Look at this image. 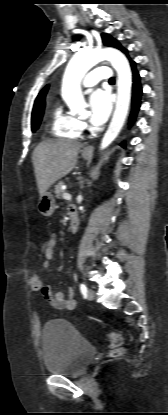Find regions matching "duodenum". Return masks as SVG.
<instances>
[{"instance_id":"obj_1","label":"duodenum","mask_w":168,"mask_h":415,"mask_svg":"<svg viewBox=\"0 0 168 415\" xmlns=\"http://www.w3.org/2000/svg\"><path fill=\"white\" fill-rule=\"evenodd\" d=\"M78 225H79V218H78V213L75 207L71 206L69 208V232L70 233H75L78 229Z\"/></svg>"}]
</instances>
